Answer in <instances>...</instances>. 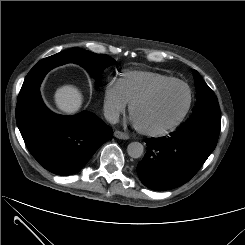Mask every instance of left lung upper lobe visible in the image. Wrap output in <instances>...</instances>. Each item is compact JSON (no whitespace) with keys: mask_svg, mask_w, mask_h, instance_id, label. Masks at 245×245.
Masks as SVG:
<instances>
[{"mask_svg":"<svg viewBox=\"0 0 245 245\" xmlns=\"http://www.w3.org/2000/svg\"><path fill=\"white\" fill-rule=\"evenodd\" d=\"M193 74L197 89V103L192 115L181 128L204 126L220 131L221 116L218 99L196 70Z\"/></svg>","mask_w":245,"mask_h":245,"instance_id":"left-lung-upper-lobe-1","label":"left lung upper lobe"}]
</instances>
